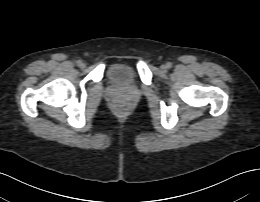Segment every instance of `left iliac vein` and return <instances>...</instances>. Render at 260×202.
Here are the masks:
<instances>
[{
	"instance_id": "4c4485c4",
	"label": "left iliac vein",
	"mask_w": 260,
	"mask_h": 202,
	"mask_svg": "<svg viewBox=\"0 0 260 202\" xmlns=\"http://www.w3.org/2000/svg\"><path fill=\"white\" fill-rule=\"evenodd\" d=\"M160 68H161L162 71H165L167 69V66L166 65H161Z\"/></svg>"
}]
</instances>
